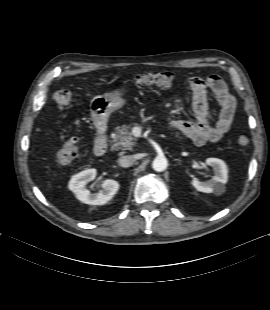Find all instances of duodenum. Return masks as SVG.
Masks as SVG:
<instances>
[{
	"label": "duodenum",
	"instance_id": "obj_1",
	"mask_svg": "<svg viewBox=\"0 0 270 310\" xmlns=\"http://www.w3.org/2000/svg\"><path fill=\"white\" fill-rule=\"evenodd\" d=\"M107 129L108 127L104 123L99 124L96 129L97 138L94 145V154L96 156L104 155L108 148Z\"/></svg>",
	"mask_w": 270,
	"mask_h": 310
}]
</instances>
